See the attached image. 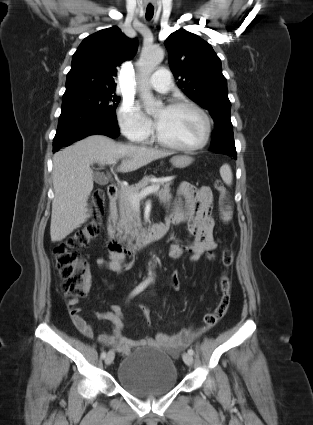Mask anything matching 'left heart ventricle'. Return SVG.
<instances>
[{"label": "left heart ventricle", "instance_id": "obj_1", "mask_svg": "<svg viewBox=\"0 0 313 425\" xmlns=\"http://www.w3.org/2000/svg\"><path fill=\"white\" fill-rule=\"evenodd\" d=\"M156 116V130L164 140L181 146H194L201 141L204 123L195 111L187 108H161Z\"/></svg>", "mask_w": 313, "mask_h": 425}]
</instances>
